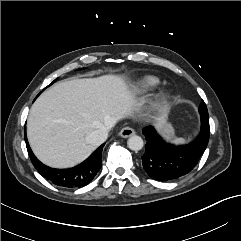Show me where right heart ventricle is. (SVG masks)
I'll return each instance as SVG.
<instances>
[{"label": "right heart ventricle", "mask_w": 241, "mask_h": 241, "mask_svg": "<svg viewBox=\"0 0 241 241\" xmlns=\"http://www.w3.org/2000/svg\"><path fill=\"white\" fill-rule=\"evenodd\" d=\"M159 85V79L152 75H143L136 79L133 91L136 94H145Z\"/></svg>", "instance_id": "1"}]
</instances>
